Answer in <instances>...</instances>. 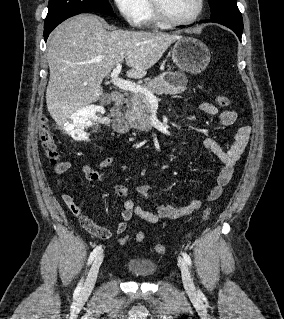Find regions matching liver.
Here are the masks:
<instances>
[{"label":"liver","mask_w":284,"mask_h":319,"mask_svg":"<svg viewBox=\"0 0 284 319\" xmlns=\"http://www.w3.org/2000/svg\"><path fill=\"white\" fill-rule=\"evenodd\" d=\"M182 37L152 32L107 31L95 15L81 14L60 24L50 35L47 108L62 126L82 107L100 99L101 82L125 59L130 78L140 79L167 48Z\"/></svg>","instance_id":"liver-1"}]
</instances>
